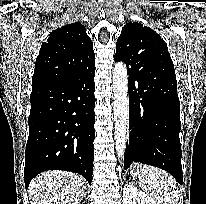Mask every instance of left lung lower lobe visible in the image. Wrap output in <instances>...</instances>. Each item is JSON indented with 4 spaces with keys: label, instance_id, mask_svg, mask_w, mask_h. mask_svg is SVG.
Masks as SVG:
<instances>
[{
    "label": "left lung lower lobe",
    "instance_id": "1",
    "mask_svg": "<svg viewBox=\"0 0 206 204\" xmlns=\"http://www.w3.org/2000/svg\"><path fill=\"white\" fill-rule=\"evenodd\" d=\"M116 62L117 59H114ZM148 67L128 68L129 141L124 168L141 162L161 168L182 184L180 103L173 74Z\"/></svg>",
    "mask_w": 206,
    "mask_h": 204
}]
</instances>
